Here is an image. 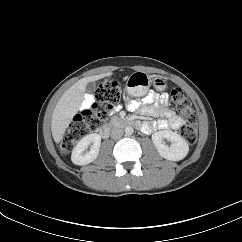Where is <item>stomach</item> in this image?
Returning <instances> with one entry per match:
<instances>
[{
  "label": "stomach",
  "instance_id": "0dacf381",
  "mask_svg": "<svg viewBox=\"0 0 242 242\" xmlns=\"http://www.w3.org/2000/svg\"><path fill=\"white\" fill-rule=\"evenodd\" d=\"M153 85L157 91H163L167 87V81L161 76H149L144 71H136L132 73L126 83V90L130 96H144L149 88Z\"/></svg>",
  "mask_w": 242,
  "mask_h": 242
}]
</instances>
